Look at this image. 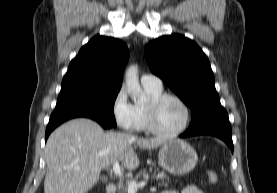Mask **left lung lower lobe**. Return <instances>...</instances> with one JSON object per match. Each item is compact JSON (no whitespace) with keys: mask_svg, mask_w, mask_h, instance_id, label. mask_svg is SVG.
I'll use <instances>...</instances> for the list:
<instances>
[{"mask_svg":"<svg viewBox=\"0 0 277 193\" xmlns=\"http://www.w3.org/2000/svg\"><path fill=\"white\" fill-rule=\"evenodd\" d=\"M198 135H212L223 140L233 152L231 124L227 112L211 115L200 123L189 127V130L180 135L181 138Z\"/></svg>","mask_w":277,"mask_h":193,"instance_id":"1","label":"left lung lower lobe"}]
</instances>
